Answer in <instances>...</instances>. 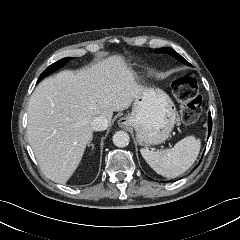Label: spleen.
Returning <instances> with one entry per match:
<instances>
[{
	"label": "spleen",
	"instance_id": "3e777b00",
	"mask_svg": "<svg viewBox=\"0 0 240 240\" xmlns=\"http://www.w3.org/2000/svg\"><path fill=\"white\" fill-rule=\"evenodd\" d=\"M201 142L194 136L178 141L171 149L153 151L141 148L140 152L148 165L159 175L175 178L187 171L196 161Z\"/></svg>",
	"mask_w": 240,
	"mask_h": 240
}]
</instances>
